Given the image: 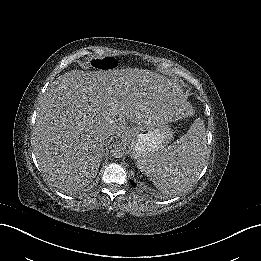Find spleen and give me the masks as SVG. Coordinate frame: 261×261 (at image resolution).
<instances>
[{
    "label": "spleen",
    "mask_w": 261,
    "mask_h": 261,
    "mask_svg": "<svg viewBox=\"0 0 261 261\" xmlns=\"http://www.w3.org/2000/svg\"><path fill=\"white\" fill-rule=\"evenodd\" d=\"M200 137L190 129L177 144L138 160L137 166L162 193L180 191L181 184L189 179L195 168L200 167Z\"/></svg>",
    "instance_id": "obj_1"
}]
</instances>
